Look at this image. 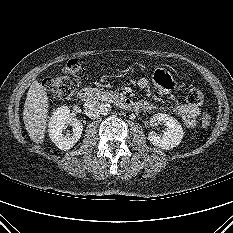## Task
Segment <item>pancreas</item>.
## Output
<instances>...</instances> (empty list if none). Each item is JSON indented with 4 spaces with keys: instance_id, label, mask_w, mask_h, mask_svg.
Instances as JSON below:
<instances>
[{
    "instance_id": "1",
    "label": "pancreas",
    "mask_w": 233,
    "mask_h": 233,
    "mask_svg": "<svg viewBox=\"0 0 233 233\" xmlns=\"http://www.w3.org/2000/svg\"><path fill=\"white\" fill-rule=\"evenodd\" d=\"M107 94L113 95L114 93L113 92H107Z\"/></svg>"
}]
</instances>
